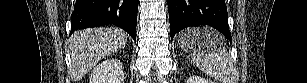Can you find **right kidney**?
<instances>
[{
	"label": "right kidney",
	"instance_id": "right-kidney-1",
	"mask_svg": "<svg viewBox=\"0 0 307 83\" xmlns=\"http://www.w3.org/2000/svg\"><path fill=\"white\" fill-rule=\"evenodd\" d=\"M89 83H124V71L120 60L111 58L96 66L91 72Z\"/></svg>",
	"mask_w": 307,
	"mask_h": 83
}]
</instances>
